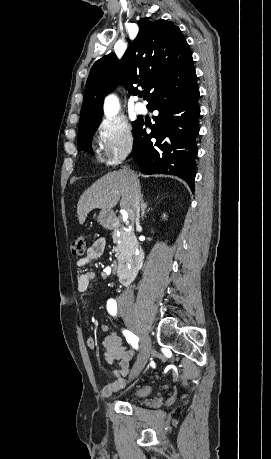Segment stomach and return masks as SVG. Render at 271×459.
Masks as SVG:
<instances>
[{
  "instance_id": "stomach-1",
  "label": "stomach",
  "mask_w": 271,
  "mask_h": 459,
  "mask_svg": "<svg viewBox=\"0 0 271 459\" xmlns=\"http://www.w3.org/2000/svg\"><path fill=\"white\" fill-rule=\"evenodd\" d=\"M113 216L114 214H112V212H108V210H102L99 216V220L100 222H102V224H107V226H109V224H111Z\"/></svg>"
}]
</instances>
